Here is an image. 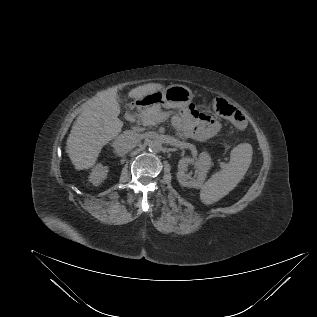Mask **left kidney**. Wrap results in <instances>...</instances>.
<instances>
[{"label": "left kidney", "instance_id": "obj_1", "mask_svg": "<svg viewBox=\"0 0 317 317\" xmlns=\"http://www.w3.org/2000/svg\"><path fill=\"white\" fill-rule=\"evenodd\" d=\"M190 164H194L196 172L194 177L187 174V169ZM211 167V157L208 153L202 152L199 157L194 159L191 157H184L179 160L177 179L180 185L189 188H201L205 181L208 170Z\"/></svg>", "mask_w": 317, "mask_h": 317}]
</instances>
